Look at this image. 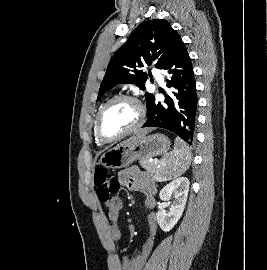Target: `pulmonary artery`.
Instances as JSON below:
<instances>
[{
    "label": "pulmonary artery",
    "instance_id": "obj_1",
    "mask_svg": "<svg viewBox=\"0 0 267 270\" xmlns=\"http://www.w3.org/2000/svg\"><path fill=\"white\" fill-rule=\"evenodd\" d=\"M154 75L156 76L158 82L160 84H163L164 83V79H163V76L159 73V71L157 70H154Z\"/></svg>",
    "mask_w": 267,
    "mask_h": 270
}]
</instances>
